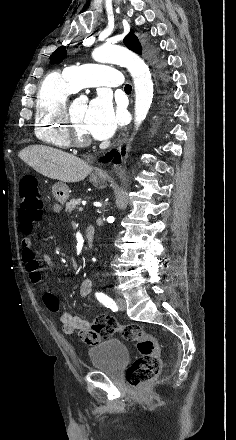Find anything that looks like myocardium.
I'll use <instances>...</instances> for the list:
<instances>
[{
  "label": "myocardium",
  "mask_w": 236,
  "mask_h": 440,
  "mask_svg": "<svg viewBox=\"0 0 236 440\" xmlns=\"http://www.w3.org/2000/svg\"><path fill=\"white\" fill-rule=\"evenodd\" d=\"M61 118L64 123L65 134L70 144L78 147H85L91 144V139L87 136L81 135L76 129L72 115V101L66 102Z\"/></svg>",
  "instance_id": "f54148a6"
}]
</instances>
